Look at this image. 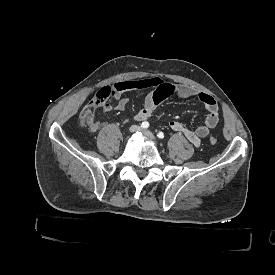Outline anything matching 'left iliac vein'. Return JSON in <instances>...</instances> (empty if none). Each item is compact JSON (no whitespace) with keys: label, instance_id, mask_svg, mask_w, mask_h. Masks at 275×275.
<instances>
[{"label":"left iliac vein","instance_id":"4c4485c4","mask_svg":"<svg viewBox=\"0 0 275 275\" xmlns=\"http://www.w3.org/2000/svg\"><path fill=\"white\" fill-rule=\"evenodd\" d=\"M143 134L144 136H146L147 138L151 139V140H156L154 135L152 134V132H150L149 130H143Z\"/></svg>","mask_w":275,"mask_h":275}]
</instances>
